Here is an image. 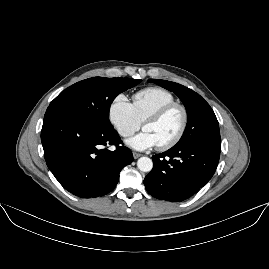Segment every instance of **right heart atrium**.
Masks as SVG:
<instances>
[{"label": "right heart atrium", "mask_w": 269, "mask_h": 269, "mask_svg": "<svg viewBox=\"0 0 269 269\" xmlns=\"http://www.w3.org/2000/svg\"><path fill=\"white\" fill-rule=\"evenodd\" d=\"M108 118L122 137L131 136L142 126V121L136 116L132 103L124 94H118L112 99L108 107Z\"/></svg>", "instance_id": "1"}]
</instances>
